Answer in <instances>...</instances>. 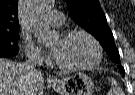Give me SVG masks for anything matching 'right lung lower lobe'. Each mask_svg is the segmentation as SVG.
I'll list each match as a JSON object with an SVG mask.
<instances>
[{
	"instance_id": "98d812e1",
	"label": "right lung lower lobe",
	"mask_w": 135,
	"mask_h": 95,
	"mask_svg": "<svg viewBox=\"0 0 135 95\" xmlns=\"http://www.w3.org/2000/svg\"><path fill=\"white\" fill-rule=\"evenodd\" d=\"M18 51L14 52H0V57H13L16 56Z\"/></svg>"
}]
</instances>
